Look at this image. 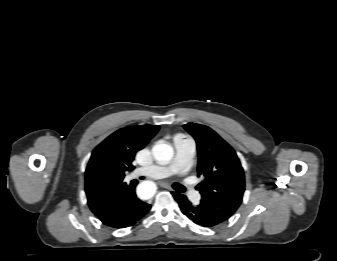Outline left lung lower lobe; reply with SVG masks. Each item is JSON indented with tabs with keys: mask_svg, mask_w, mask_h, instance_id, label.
<instances>
[{
	"mask_svg": "<svg viewBox=\"0 0 337 261\" xmlns=\"http://www.w3.org/2000/svg\"><path fill=\"white\" fill-rule=\"evenodd\" d=\"M173 197L179 203V207L184 215L194 223L203 227H214L222 224L227 219L204 206H193L185 195L172 192Z\"/></svg>",
	"mask_w": 337,
	"mask_h": 261,
	"instance_id": "0a47b994",
	"label": "left lung lower lobe"
}]
</instances>
